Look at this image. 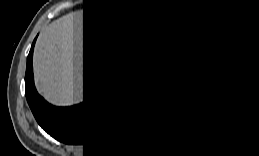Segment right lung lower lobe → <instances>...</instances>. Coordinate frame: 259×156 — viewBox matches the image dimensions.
Returning <instances> with one entry per match:
<instances>
[{
  "label": "right lung lower lobe",
  "instance_id": "98d812e1",
  "mask_svg": "<svg viewBox=\"0 0 259 156\" xmlns=\"http://www.w3.org/2000/svg\"><path fill=\"white\" fill-rule=\"evenodd\" d=\"M36 40V39H35ZM35 40L27 57L26 98L38 124L53 138L68 145H89L106 131L113 107L134 83L128 75L108 78L105 47L103 63L99 55L89 59L84 44V101L70 107H55L36 91L32 57Z\"/></svg>",
  "mask_w": 259,
  "mask_h": 156
}]
</instances>
